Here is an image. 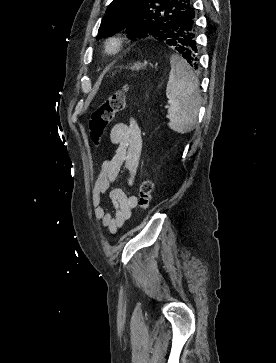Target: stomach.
I'll return each instance as SVG.
<instances>
[{
    "mask_svg": "<svg viewBox=\"0 0 276 363\" xmlns=\"http://www.w3.org/2000/svg\"><path fill=\"white\" fill-rule=\"evenodd\" d=\"M145 67H146V62H144V63L137 62V63H135L134 65L131 66V69L138 71V70H141V69H143Z\"/></svg>",
    "mask_w": 276,
    "mask_h": 363,
    "instance_id": "stomach-1",
    "label": "stomach"
}]
</instances>
